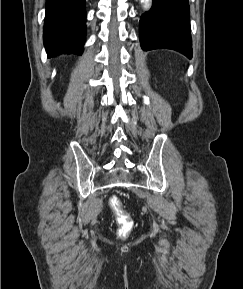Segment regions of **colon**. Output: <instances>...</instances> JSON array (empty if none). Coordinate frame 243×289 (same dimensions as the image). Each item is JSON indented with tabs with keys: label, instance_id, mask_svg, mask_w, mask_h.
Segmentation results:
<instances>
[{
	"label": "colon",
	"instance_id": "colon-1",
	"mask_svg": "<svg viewBox=\"0 0 243 289\" xmlns=\"http://www.w3.org/2000/svg\"><path fill=\"white\" fill-rule=\"evenodd\" d=\"M110 207L114 211L119 225L118 235L125 238L133 228L132 218L123 210L122 203L118 197L112 196L110 198Z\"/></svg>",
	"mask_w": 243,
	"mask_h": 289
}]
</instances>
